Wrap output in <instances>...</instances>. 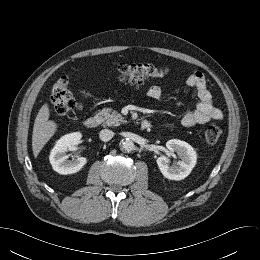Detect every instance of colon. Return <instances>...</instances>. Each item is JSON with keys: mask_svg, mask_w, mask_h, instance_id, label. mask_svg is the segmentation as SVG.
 Segmentation results:
<instances>
[{"mask_svg": "<svg viewBox=\"0 0 260 260\" xmlns=\"http://www.w3.org/2000/svg\"><path fill=\"white\" fill-rule=\"evenodd\" d=\"M117 72L121 80L142 85L156 74L157 67L152 64H120L117 66ZM50 101L58 114L70 113L79 108V103L71 92L69 80L65 76L55 82ZM222 134L223 129L220 125L211 124L205 130V140L208 144L214 145Z\"/></svg>", "mask_w": 260, "mask_h": 260, "instance_id": "obj_1", "label": "colon"}]
</instances>
